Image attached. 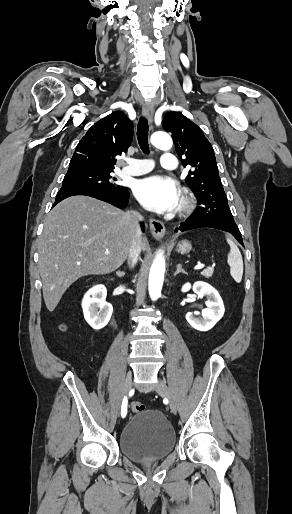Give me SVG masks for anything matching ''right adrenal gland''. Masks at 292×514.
Listing matches in <instances>:
<instances>
[{
	"label": "right adrenal gland",
	"instance_id": "2a0ac1e0",
	"mask_svg": "<svg viewBox=\"0 0 292 514\" xmlns=\"http://www.w3.org/2000/svg\"><path fill=\"white\" fill-rule=\"evenodd\" d=\"M117 276H119V278H122V276H125V272H117Z\"/></svg>",
	"mask_w": 292,
	"mask_h": 514
}]
</instances>
